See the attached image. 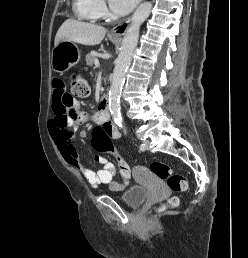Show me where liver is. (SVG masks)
Listing matches in <instances>:
<instances>
[{"label": "liver", "mask_w": 248, "mask_h": 258, "mask_svg": "<svg viewBox=\"0 0 248 258\" xmlns=\"http://www.w3.org/2000/svg\"><path fill=\"white\" fill-rule=\"evenodd\" d=\"M105 34L106 29L102 26L68 19L57 31L54 44L57 46L61 41H71L94 46L102 42Z\"/></svg>", "instance_id": "1"}]
</instances>
